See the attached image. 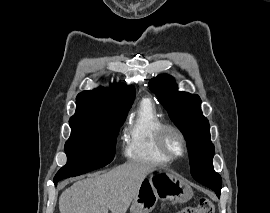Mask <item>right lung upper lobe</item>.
Listing matches in <instances>:
<instances>
[{"instance_id":"obj_1","label":"right lung upper lobe","mask_w":270,"mask_h":213,"mask_svg":"<svg viewBox=\"0 0 270 213\" xmlns=\"http://www.w3.org/2000/svg\"><path fill=\"white\" fill-rule=\"evenodd\" d=\"M135 97L133 86L113 84L110 88L99 87L86 90L76 98V113L71 121L87 119H108L127 113Z\"/></svg>"}]
</instances>
